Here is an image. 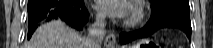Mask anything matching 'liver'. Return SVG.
Masks as SVG:
<instances>
[{
    "instance_id": "6515ba94",
    "label": "liver",
    "mask_w": 213,
    "mask_h": 48,
    "mask_svg": "<svg viewBox=\"0 0 213 48\" xmlns=\"http://www.w3.org/2000/svg\"><path fill=\"white\" fill-rule=\"evenodd\" d=\"M24 48H87L85 38L61 20L39 26Z\"/></svg>"
}]
</instances>
